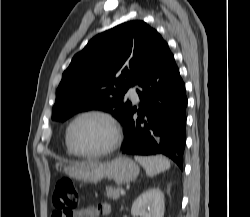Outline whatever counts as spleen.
<instances>
[{
	"label": "spleen",
	"mask_w": 250,
	"mask_h": 217,
	"mask_svg": "<svg viewBox=\"0 0 250 217\" xmlns=\"http://www.w3.org/2000/svg\"><path fill=\"white\" fill-rule=\"evenodd\" d=\"M135 160L139 162L150 177L168 170L171 166L170 161L164 156H135Z\"/></svg>",
	"instance_id": "obj_1"
}]
</instances>
